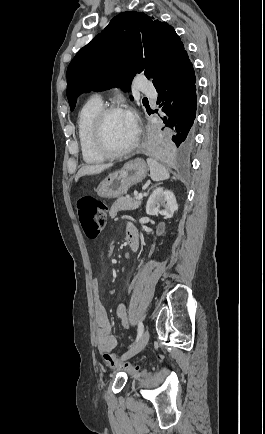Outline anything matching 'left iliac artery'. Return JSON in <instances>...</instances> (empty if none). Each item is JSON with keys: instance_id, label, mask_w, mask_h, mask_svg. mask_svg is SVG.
<instances>
[{"instance_id": "1", "label": "left iliac artery", "mask_w": 265, "mask_h": 434, "mask_svg": "<svg viewBox=\"0 0 265 434\" xmlns=\"http://www.w3.org/2000/svg\"><path fill=\"white\" fill-rule=\"evenodd\" d=\"M143 331H144V325H143L142 322H139V324H138V333H137L136 341L139 340V338H140L141 335L143 334Z\"/></svg>"}]
</instances>
